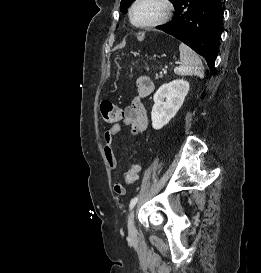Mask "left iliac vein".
Masks as SVG:
<instances>
[{"mask_svg":"<svg viewBox=\"0 0 261 273\" xmlns=\"http://www.w3.org/2000/svg\"><path fill=\"white\" fill-rule=\"evenodd\" d=\"M128 232L130 236H134L136 234V228L134 224V211L130 214L128 218Z\"/></svg>","mask_w":261,"mask_h":273,"instance_id":"left-iliac-vein-1","label":"left iliac vein"}]
</instances>
